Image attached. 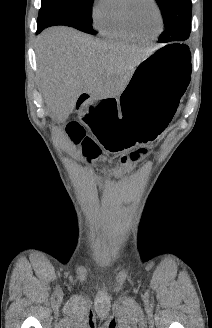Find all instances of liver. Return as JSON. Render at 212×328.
Instances as JSON below:
<instances>
[{"mask_svg": "<svg viewBox=\"0 0 212 328\" xmlns=\"http://www.w3.org/2000/svg\"><path fill=\"white\" fill-rule=\"evenodd\" d=\"M153 49L106 42L67 27L46 29L38 38V65L50 112L64 122L78 97L119 96L135 67Z\"/></svg>", "mask_w": 212, "mask_h": 328, "instance_id": "1", "label": "liver"}]
</instances>
